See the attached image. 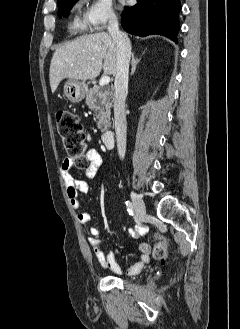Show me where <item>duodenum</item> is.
Returning <instances> with one entry per match:
<instances>
[{
  "label": "duodenum",
  "instance_id": "duodenum-1",
  "mask_svg": "<svg viewBox=\"0 0 240 329\" xmlns=\"http://www.w3.org/2000/svg\"><path fill=\"white\" fill-rule=\"evenodd\" d=\"M101 140L107 148H112L114 145V132L112 130L103 132Z\"/></svg>",
  "mask_w": 240,
  "mask_h": 329
}]
</instances>
